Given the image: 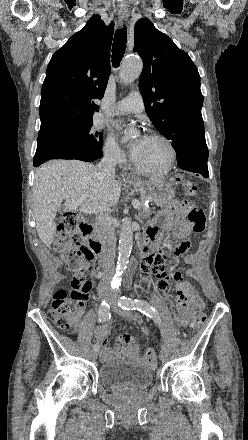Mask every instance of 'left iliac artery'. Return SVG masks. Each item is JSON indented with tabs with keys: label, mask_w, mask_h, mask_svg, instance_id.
<instances>
[{
	"label": "left iliac artery",
	"mask_w": 248,
	"mask_h": 440,
	"mask_svg": "<svg viewBox=\"0 0 248 440\" xmlns=\"http://www.w3.org/2000/svg\"><path fill=\"white\" fill-rule=\"evenodd\" d=\"M118 305L124 310H138L150 318H157V313L155 309L150 306L145 300L120 296L118 299Z\"/></svg>",
	"instance_id": "44dca946"
}]
</instances>
